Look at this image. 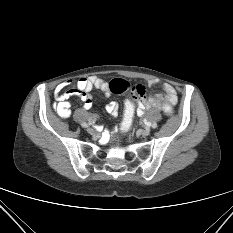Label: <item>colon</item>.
I'll return each instance as SVG.
<instances>
[{
    "mask_svg": "<svg viewBox=\"0 0 233 233\" xmlns=\"http://www.w3.org/2000/svg\"><path fill=\"white\" fill-rule=\"evenodd\" d=\"M111 92L114 94H122L128 92L130 97L125 101L123 108V116L121 121V131L127 133L132 125L133 118L136 114V102L146 97L145 87L142 85H132L123 79H113L110 83ZM165 113H171V107H163Z\"/></svg>",
    "mask_w": 233,
    "mask_h": 233,
    "instance_id": "obj_1",
    "label": "colon"
}]
</instances>
